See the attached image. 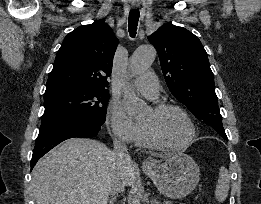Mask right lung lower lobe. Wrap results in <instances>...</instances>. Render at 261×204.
Listing matches in <instances>:
<instances>
[{
	"label": "right lung lower lobe",
	"instance_id": "1",
	"mask_svg": "<svg viewBox=\"0 0 261 204\" xmlns=\"http://www.w3.org/2000/svg\"><path fill=\"white\" fill-rule=\"evenodd\" d=\"M104 122L91 118H67L41 124L31 159V169L38 159L62 141L95 137Z\"/></svg>",
	"mask_w": 261,
	"mask_h": 204
}]
</instances>
